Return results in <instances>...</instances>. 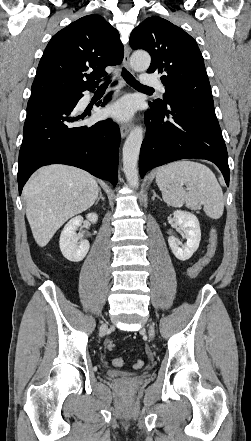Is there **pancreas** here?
<instances>
[{
	"instance_id": "pancreas-1",
	"label": "pancreas",
	"mask_w": 251,
	"mask_h": 441,
	"mask_svg": "<svg viewBox=\"0 0 251 441\" xmlns=\"http://www.w3.org/2000/svg\"><path fill=\"white\" fill-rule=\"evenodd\" d=\"M194 210H198V208L196 207V208H193ZM197 213H198V211H197Z\"/></svg>"
}]
</instances>
